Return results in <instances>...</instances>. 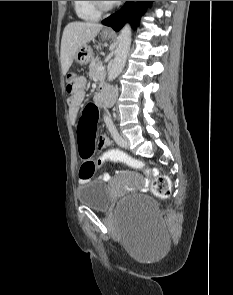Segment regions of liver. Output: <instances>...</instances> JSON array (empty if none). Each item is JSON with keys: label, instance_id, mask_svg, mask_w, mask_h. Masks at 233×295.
Wrapping results in <instances>:
<instances>
[{"label": "liver", "instance_id": "1", "mask_svg": "<svg viewBox=\"0 0 233 295\" xmlns=\"http://www.w3.org/2000/svg\"><path fill=\"white\" fill-rule=\"evenodd\" d=\"M101 24L93 22H71L64 28L61 40V68L66 75L72 65L78 49L93 40L100 30Z\"/></svg>", "mask_w": 233, "mask_h": 295}]
</instances>
